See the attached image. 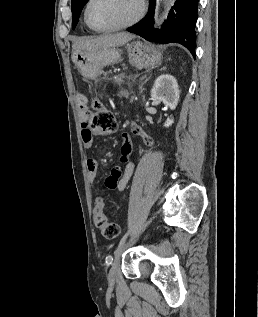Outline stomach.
I'll return each instance as SVG.
<instances>
[{
    "label": "stomach",
    "mask_w": 258,
    "mask_h": 317,
    "mask_svg": "<svg viewBox=\"0 0 258 317\" xmlns=\"http://www.w3.org/2000/svg\"><path fill=\"white\" fill-rule=\"evenodd\" d=\"M125 48L129 62L136 68H149V66H156L162 62V52L153 46H146L141 40L128 42ZM72 60L83 76L91 78V76L100 74L103 66L122 60L121 48L107 46L100 50H73Z\"/></svg>",
    "instance_id": "1"
}]
</instances>
